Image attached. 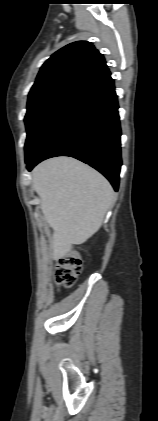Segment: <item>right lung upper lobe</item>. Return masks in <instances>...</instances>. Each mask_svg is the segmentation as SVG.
Segmentation results:
<instances>
[{"label":"right lung upper lobe","mask_w":158,"mask_h":421,"mask_svg":"<svg viewBox=\"0 0 158 421\" xmlns=\"http://www.w3.org/2000/svg\"><path fill=\"white\" fill-rule=\"evenodd\" d=\"M107 68L92 43L77 41L55 52L41 67L30 92L64 82L83 84Z\"/></svg>","instance_id":"right-lung-upper-lobe-1"}]
</instances>
